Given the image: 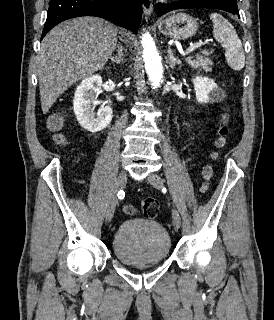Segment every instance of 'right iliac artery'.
<instances>
[{
    "label": "right iliac artery",
    "instance_id": "82829eb1",
    "mask_svg": "<svg viewBox=\"0 0 274 320\" xmlns=\"http://www.w3.org/2000/svg\"><path fill=\"white\" fill-rule=\"evenodd\" d=\"M117 196H118L119 199H123V198L125 197L124 191H123V190H120V191L118 192Z\"/></svg>",
    "mask_w": 274,
    "mask_h": 320
}]
</instances>
